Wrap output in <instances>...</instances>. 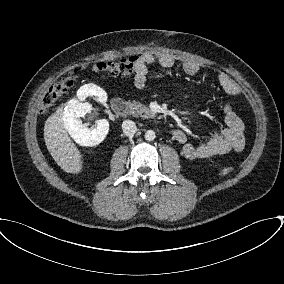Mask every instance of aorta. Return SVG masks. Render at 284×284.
Wrapping results in <instances>:
<instances>
[{
    "label": "aorta",
    "mask_w": 284,
    "mask_h": 284,
    "mask_svg": "<svg viewBox=\"0 0 284 284\" xmlns=\"http://www.w3.org/2000/svg\"><path fill=\"white\" fill-rule=\"evenodd\" d=\"M156 137V134L153 130H147L145 133V139L147 141H153Z\"/></svg>",
    "instance_id": "aorta-1"
}]
</instances>
